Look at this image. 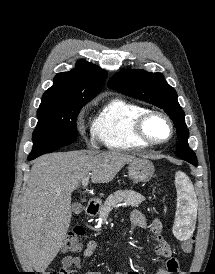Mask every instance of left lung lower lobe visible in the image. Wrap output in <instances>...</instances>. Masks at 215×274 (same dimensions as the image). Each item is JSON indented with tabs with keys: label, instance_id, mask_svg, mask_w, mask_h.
<instances>
[{
	"label": "left lung lower lobe",
	"instance_id": "obj_1",
	"mask_svg": "<svg viewBox=\"0 0 215 274\" xmlns=\"http://www.w3.org/2000/svg\"><path fill=\"white\" fill-rule=\"evenodd\" d=\"M187 162L193 164L194 166H197V162H191V161H187Z\"/></svg>",
	"mask_w": 215,
	"mask_h": 274
}]
</instances>
